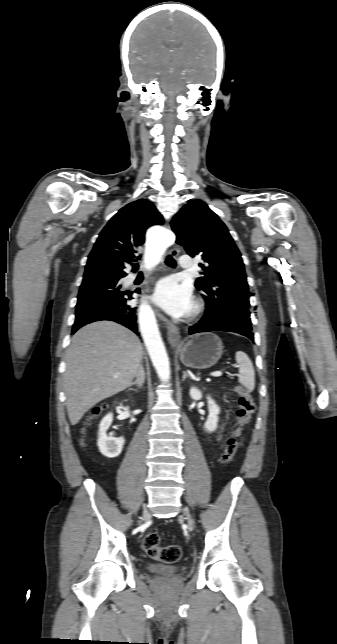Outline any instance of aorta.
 Returning <instances> with one entry per match:
<instances>
[{
	"label": "aorta",
	"mask_w": 337,
	"mask_h": 644,
	"mask_svg": "<svg viewBox=\"0 0 337 644\" xmlns=\"http://www.w3.org/2000/svg\"><path fill=\"white\" fill-rule=\"evenodd\" d=\"M173 240V235L165 231L159 238L158 248H149L144 256V267L152 269L160 261L164 246ZM138 318L141 334L148 350L149 356L161 381L168 382L170 379L169 358L161 339L155 315L146 302H143L138 310Z\"/></svg>",
	"instance_id": "obj_1"
}]
</instances>
